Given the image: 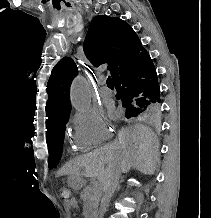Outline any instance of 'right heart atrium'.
Listing matches in <instances>:
<instances>
[{
	"label": "right heart atrium",
	"instance_id": "right-heart-atrium-1",
	"mask_svg": "<svg viewBox=\"0 0 211 218\" xmlns=\"http://www.w3.org/2000/svg\"><path fill=\"white\" fill-rule=\"evenodd\" d=\"M75 143L82 149L101 144L109 137V129L102 114L93 109L75 113L71 118Z\"/></svg>",
	"mask_w": 211,
	"mask_h": 218
}]
</instances>
